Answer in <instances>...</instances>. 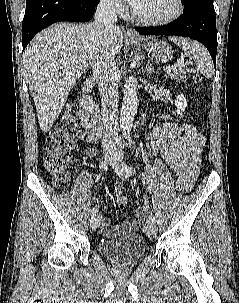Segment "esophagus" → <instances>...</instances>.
Wrapping results in <instances>:
<instances>
[{"label": "esophagus", "instance_id": "34e87169", "mask_svg": "<svg viewBox=\"0 0 239 303\" xmlns=\"http://www.w3.org/2000/svg\"><path fill=\"white\" fill-rule=\"evenodd\" d=\"M125 36L128 37V38H130V39H135V40H139L140 39V37L138 36V34L132 28H128L126 30Z\"/></svg>", "mask_w": 239, "mask_h": 303}]
</instances>
